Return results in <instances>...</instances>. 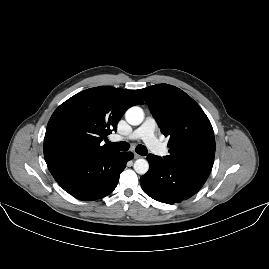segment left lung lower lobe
<instances>
[{"instance_id": "0a47b994", "label": "left lung lower lobe", "mask_w": 269, "mask_h": 269, "mask_svg": "<svg viewBox=\"0 0 269 269\" xmlns=\"http://www.w3.org/2000/svg\"><path fill=\"white\" fill-rule=\"evenodd\" d=\"M150 169L140 178L141 187L151 198L167 204L179 203L197 193L208 174L169 163L149 154Z\"/></svg>"}]
</instances>
